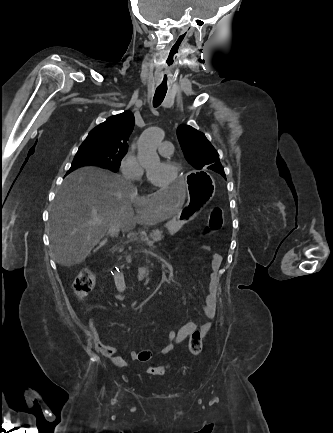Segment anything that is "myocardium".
Instances as JSON below:
<instances>
[{"label":"myocardium","mask_w":333,"mask_h":433,"mask_svg":"<svg viewBox=\"0 0 333 433\" xmlns=\"http://www.w3.org/2000/svg\"><path fill=\"white\" fill-rule=\"evenodd\" d=\"M162 162L173 170L172 179L168 183H165V184H159V183L154 182L153 180H150V181L154 186H156L160 189H166V188L173 187L178 182L179 165L176 162L169 160V159H165Z\"/></svg>","instance_id":"f54148a6"}]
</instances>
